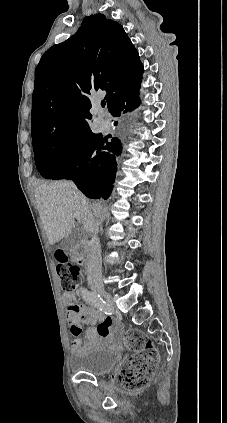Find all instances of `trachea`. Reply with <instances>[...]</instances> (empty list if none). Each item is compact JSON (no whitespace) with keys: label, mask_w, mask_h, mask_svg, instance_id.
<instances>
[{"label":"trachea","mask_w":227,"mask_h":423,"mask_svg":"<svg viewBox=\"0 0 227 423\" xmlns=\"http://www.w3.org/2000/svg\"><path fill=\"white\" fill-rule=\"evenodd\" d=\"M101 106H102V107H105V100H102V102H101Z\"/></svg>","instance_id":"1"}]
</instances>
